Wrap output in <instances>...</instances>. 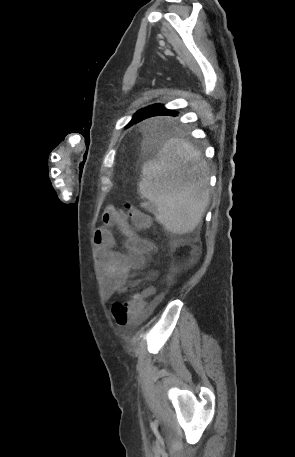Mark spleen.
I'll use <instances>...</instances> for the list:
<instances>
[{
	"instance_id": "spleen-1",
	"label": "spleen",
	"mask_w": 295,
	"mask_h": 457,
	"mask_svg": "<svg viewBox=\"0 0 295 457\" xmlns=\"http://www.w3.org/2000/svg\"><path fill=\"white\" fill-rule=\"evenodd\" d=\"M152 212L166 230L185 234L201 221L209 203L208 176L200 154L182 139L169 140L147 161L138 184Z\"/></svg>"
}]
</instances>
